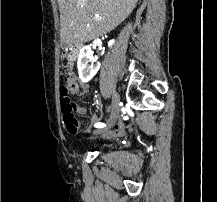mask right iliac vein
<instances>
[{
    "mask_svg": "<svg viewBox=\"0 0 217 202\" xmlns=\"http://www.w3.org/2000/svg\"><path fill=\"white\" fill-rule=\"evenodd\" d=\"M120 97L118 93L114 92L112 96V110L110 114V118L108 119L107 123L109 124V127L113 125L115 120L118 118V115L120 113V106H119ZM105 130H96L94 131V134L96 135H103Z\"/></svg>",
    "mask_w": 217,
    "mask_h": 202,
    "instance_id": "right-iliac-vein-1",
    "label": "right iliac vein"
}]
</instances>
